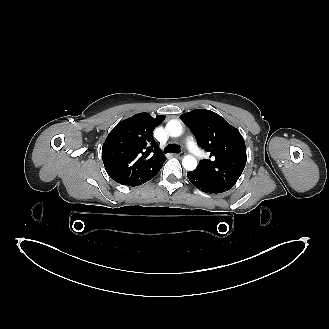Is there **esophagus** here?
<instances>
[{"label":"esophagus","mask_w":329,"mask_h":329,"mask_svg":"<svg viewBox=\"0 0 329 329\" xmlns=\"http://www.w3.org/2000/svg\"><path fill=\"white\" fill-rule=\"evenodd\" d=\"M175 156H176L177 158H182V157L184 156V154H183V153H177V154H175Z\"/></svg>","instance_id":"34e87169"}]
</instances>
